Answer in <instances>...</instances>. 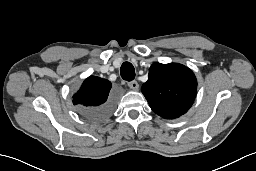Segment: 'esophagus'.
Listing matches in <instances>:
<instances>
[{
    "label": "esophagus",
    "mask_w": 256,
    "mask_h": 171,
    "mask_svg": "<svg viewBox=\"0 0 256 171\" xmlns=\"http://www.w3.org/2000/svg\"><path fill=\"white\" fill-rule=\"evenodd\" d=\"M128 86L132 89V90H138L139 89V84L137 81H131L128 83Z\"/></svg>",
    "instance_id": "1"
}]
</instances>
